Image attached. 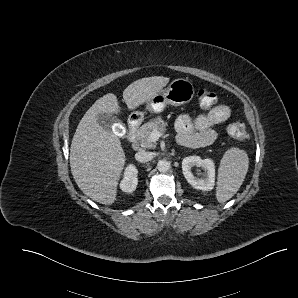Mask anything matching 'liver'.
<instances>
[{"label": "liver", "mask_w": 298, "mask_h": 298, "mask_svg": "<svg viewBox=\"0 0 298 298\" xmlns=\"http://www.w3.org/2000/svg\"><path fill=\"white\" fill-rule=\"evenodd\" d=\"M170 82L164 76L138 79L123 91L129 110L150 101ZM115 94L108 93L86 111L80 120L70 147V167L80 190L92 200L111 205L116 200L117 186L126 157L121 141L97 122L99 113H119Z\"/></svg>", "instance_id": "1"}]
</instances>
